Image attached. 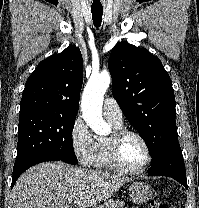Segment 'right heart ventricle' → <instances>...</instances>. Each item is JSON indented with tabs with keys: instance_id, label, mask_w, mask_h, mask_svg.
Returning a JSON list of instances; mask_svg holds the SVG:
<instances>
[{
	"instance_id": "right-heart-ventricle-1",
	"label": "right heart ventricle",
	"mask_w": 199,
	"mask_h": 208,
	"mask_svg": "<svg viewBox=\"0 0 199 208\" xmlns=\"http://www.w3.org/2000/svg\"><path fill=\"white\" fill-rule=\"evenodd\" d=\"M111 124L113 125L114 130L122 128V125H116L112 122ZM107 140L108 139H98L97 141H95L96 149L92 165L98 169L116 170V168L111 164L108 157Z\"/></svg>"
}]
</instances>
